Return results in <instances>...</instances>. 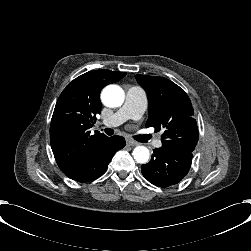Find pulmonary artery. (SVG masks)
Returning a JSON list of instances; mask_svg holds the SVG:
<instances>
[{"label":"pulmonary artery","instance_id":"obj_1","mask_svg":"<svg viewBox=\"0 0 251 251\" xmlns=\"http://www.w3.org/2000/svg\"><path fill=\"white\" fill-rule=\"evenodd\" d=\"M147 108L146 96L135 87L126 90L125 101L122 107L111 116L103 119L100 125L107 128L120 126L129 119L139 120ZM162 143L160 139L154 141V146L159 148Z\"/></svg>","mask_w":251,"mask_h":251}]
</instances>
